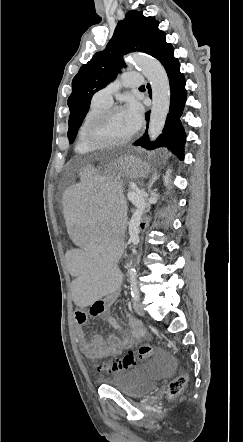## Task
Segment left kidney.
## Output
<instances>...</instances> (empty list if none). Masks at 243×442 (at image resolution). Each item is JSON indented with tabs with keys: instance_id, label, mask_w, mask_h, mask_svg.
I'll list each match as a JSON object with an SVG mask.
<instances>
[{
	"instance_id": "5707ae66",
	"label": "left kidney",
	"mask_w": 243,
	"mask_h": 442,
	"mask_svg": "<svg viewBox=\"0 0 243 442\" xmlns=\"http://www.w3.org/2000/svg\"><path fill=\"white\" fill-rule=\"evenodd\" d=\"M167 173H168V175L167 176H164V183H165V185L166 186H168V184H169V175H170V173H171V170L169 169L168 171H167Z\"/></svg>"
}]
</instances>
